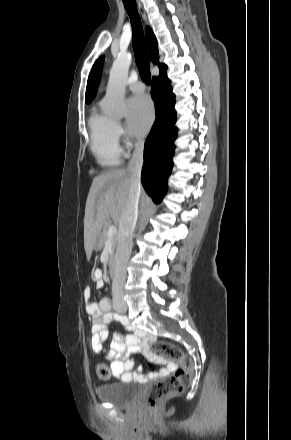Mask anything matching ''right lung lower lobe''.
Returning a JSON list of instances; mask_svg holds the SVG:
<instances>
[{"label": "right lung lower lobe", "instance_id": "obj_1", "mask_svg": "<svg viewBox=\"0 0 291 440\" xmlns=\"http://www.w3.org/2000/svg\"><path fill=\"white\" fill-rule=\"evenodd\" d=\"M151 94L156 120L144 146L141 181L148 195L155 202H160L168 188L167 179L173 167L174 141L178 131L175 127V95L165 71L159 77H153Z\"/></svg>", "mask_w": 291, "mask_h": 440}]
</instances>
